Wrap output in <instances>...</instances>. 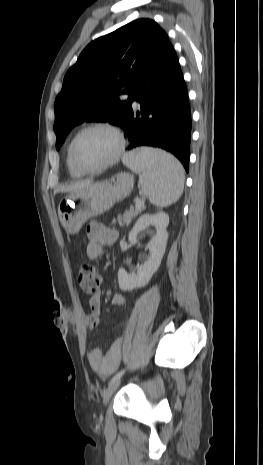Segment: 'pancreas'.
Returning a JSON list of instances; mask_svg holds the SVG:
<instances>
[{"label":"pancreas","mask_w":263,"mask_h":465,"mask_svg":"<svg viewBox=\"0 0 263 465\" xmlns=\"http://www.w3.org/2000/svg\"><path fill=\"white\" fill-rule=\"evenodd\" d=\"M144 210V205H142L140 208L135 207V208H130L128 211H126L123 215H118L117 221L120 224V226L124 225H129L131 221ZM113 224L115 223V220L112 222Z\"/></svg>","instance_id":"obj_1"}]
</instances>
